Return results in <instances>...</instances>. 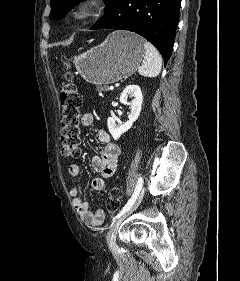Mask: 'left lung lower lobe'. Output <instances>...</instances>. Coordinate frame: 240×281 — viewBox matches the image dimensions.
Listing matches in <instances>:
<instances>
[{
    "label": "left lung lower lobe",
    "instance_id": "0a47b994",
    "mask_svg": "<svg viewBox=\"0 0 240 281\" xmlns=\"http://www.w3.org/2000/svg\"><path fill=\"white\" fill-rule=\"evenodd\" d=\"M181 0H113L90 29L133 31L150 41L166 62L170 58Z\"/></svg>",
    "mask_w": 240,
    "mask_h": 281
}]
</instances>
